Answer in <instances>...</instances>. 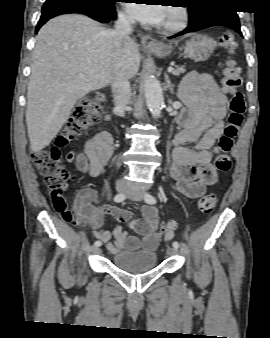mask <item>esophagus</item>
<instances>
[{"mask_svg": "<svg viewBox=\"0 0 270 338\" xmlns=\"http://www.w3.org/2000/svg\"><path fill=\"white\" fill-rule=\"evenodd\" d=\"M141 43L144 47L159 46V42L149 35L140 34Z\"/></svg>", "mask_w": 270, "mask_h": 338, "instance_id": "esophagus-1", "label": "esophagus"}]
</instances>
